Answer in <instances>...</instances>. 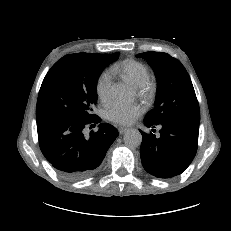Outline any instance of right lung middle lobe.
I'll use <instances>...</instances> for the list:
<instances>
[{"instance_id": "1", "label": "right lung middle lobe", "mask_w": 231, "mask_h": 231, "mask_svg": "<svg viewBox=\"0 0 231 231\" xmlns=\"http://www.w3.org/2000/svg\"><path fill=\"white\" fill-rule=\"evenodd\" d=\"M114 54L76 53L62 57L45 76L37 100L36 120L63 118L90 121L96 117L97 81Z\"/></svg>"}]
</instances>
